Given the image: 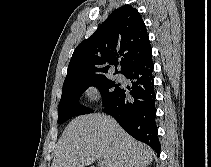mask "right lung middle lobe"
<instances>
[{
    "label": "right lung middle lobe",
    "instance_id": "dd1d6c3e",
    "mask_svg": "<svg viewBox=\"0 0 211 167\" xmlns=\"http://www.w3.org/2000/svg\"><path fill=\"white\" fill-rule=\"evenodd\" d=\"M89 86L99 89L104 106H107L121 90L119 84L107 79L106 76L83 79L73 84L64 85L58 107V124H62L74 116L93 112L78 103L79 98Z\"/></svg>",
    "mask_w": 211,
    "mask_h": 167
}]
</instances>
